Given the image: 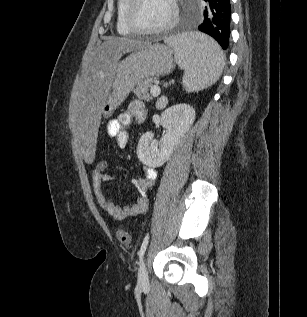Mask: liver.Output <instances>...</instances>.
<instances>
[{
    "label": "liver",
    "instance_id": "1",
    "mask_svg": "<svg viewBox=\"0 0 307 317\" xmlns=\"http://www.w3.org/2000/svg\"><path fill=\"white\" fill-rule=\"evenodd\" d=\"M144 45L142 41L126 37H108L83 69L70 102L69 126L76 142L75 148L83 149L79 157L87 166L95 157L103 100L117 63L123 54Z\"/></svg>",
    "mask_w": 307,
    "mask_h": 317
}]
</instances>
